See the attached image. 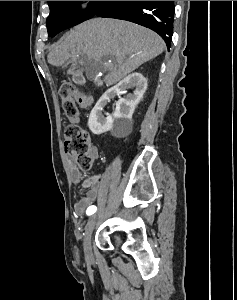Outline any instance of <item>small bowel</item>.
I'll return each mask as SVG.
<instances>
[{"mask_svg": "<svg viewBox=\"0 0 237 300\" xmlns=\"http://www.w3.org/2000/svg\"><path fill=\"white\" fill-rule=\"evenodd\" d=\"M77 100L83 107L91 105V101L81 95H77ZM72 123H78L79 118L70 119ZM93 160L98 158V150L92 146L89 151ZM68 168L71 180L79 186L81 190H86V193L77 198L74 203V211L78 216H83L90 206L102 194L105 188H113L116 186V180L110 179L107 172L99 173L95 176L84 178L81 171L77 168L72 159H68Z\"/></svg>", "mask_w": 237, "mask_h": 300, "instance_id": "small-bowel-1", "label": "small bowel"}]
</instances>
